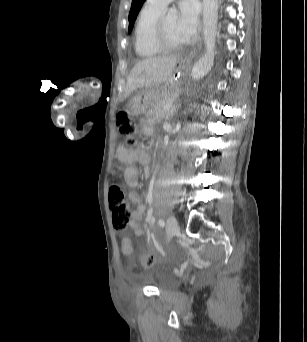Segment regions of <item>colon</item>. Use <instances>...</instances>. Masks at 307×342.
Returning <instances> with one entry per match:
<instances>
[{"instance_id":"1","label":"colon","mask_w":307,"mask_h":342,"mask_svg":"<svg viewBox=\"0 0 307 342\" xmlns=\"http://www.w3.org/2000/svg\"><path fill=\"white\" fill-rule=\"evenodd\" d=\"M116 125L119 134L126 137L128 144L133 145L137 134V125L127 111L121 110L117 113ZM117 173L118 170L115 169L114 174L116 175ZM109 204L112 210L114 226L119 229L125 228L131 219L132 210L115 177L113 178L112 185L109 189ZM120 246H122L120 249L121 254H132L133 249L131 246H133V239H130L128 235H125L123 239H120ZM154 259L155 256L153 254L147 256L143 268H150Z\"/></svg>"}]
</instances>
